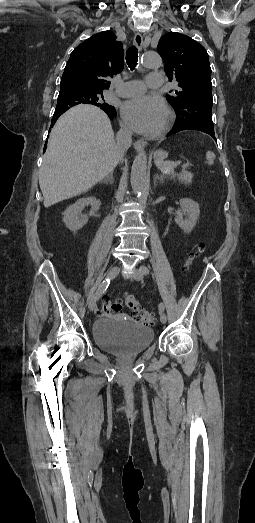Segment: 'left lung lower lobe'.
Masks as SVG:
<instances>
[{
  "label": "left lung lower lobe",
  "mask_w": 255,
  "mask_h": 523,
  "mask_svg": "<svg viewBox=\"0 0 255 523\" xmlns=\"http://www.w3.org/2000/svg\"><path fill=\"white\" fill-rule=\"evenodd\" d=\"M179 129H194V130H200V132H203V129H201V127H176V128H172L170 131H168V136L175 135V132ZM212 140H215V137H212Z\"/></svg>",
  "instance_id": "obj_1"
}]
</instances>
